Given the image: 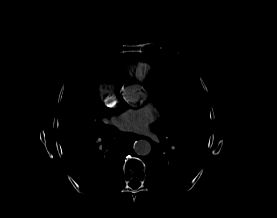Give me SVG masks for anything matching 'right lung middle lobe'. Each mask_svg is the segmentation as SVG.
Here are the masks:
<instances>
[{"instance_id":"1","label":"right lung middle lobe","mask_w":277,"mask_h":218,"mask_svg":"<svg viewBox=\"0 0 277 218\" xmlns=\"http://www.w3.org/2000/svg\"><path fill=\"white\" fill-rule=\"evenodd\" d=\"M100 68L95 81H91L86 91H82L77 80V69L84 64L94 65L95 60L83 59L75 67L67 81L60 105L59 128L63 150L66 154L78 150L90 141L96 139L101 131L100 115L104 114V108L98 95V80L106 64L111 61L99 60ZM83 107L87 108L84 111ZM92 120V121H91ZM80 124L78 128L74 125ZM101 124V122H100Z\"/></svg>"}]
</instances>
